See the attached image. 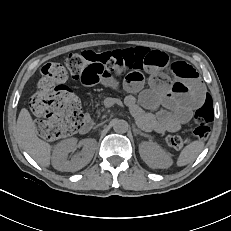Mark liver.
<instances>
[{
  "label": "liver",
  "instance_id": "6515ba94",
  "mask_svg": "<svg viewBox=\"0 0 231 231\" xmlns=\"http://www.w3.org/2000/svg\"><path fill=\"white\" fill-rule=\"evenodd\" d=\"M16 130L20 145L41 166L50 165L52 146L37 136L35 124L29 111L22 108L18 119Z\"/></svg>",
  "mask_w": 231,
  "mask_h": 231
}]
</instances>
